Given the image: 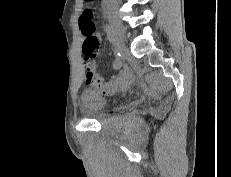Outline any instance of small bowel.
<instances>
[{
    "mask_svg": "<svg viewBox=\"0 0 231 177\" xmlns=\"http://www.w3.org/2000/svg\"><path fill=\"white\" fill-rule=\"evenodd\" d=\"M84 68L86 83L97 88L103 94L109 95L118 91H125L134 82V77L127 68L121 70L118 74H114L108 82H105L103 78L95 72L92 61L87 62L84 60Z\"/></svg>",
    "mask_w": 231,
    "mask_h": 177,
    "instance_id": "c3829d8e",
    "label": "small bowel"
}]
</instances>
